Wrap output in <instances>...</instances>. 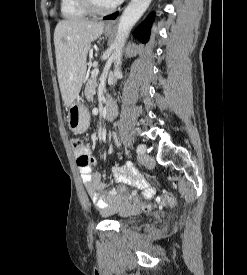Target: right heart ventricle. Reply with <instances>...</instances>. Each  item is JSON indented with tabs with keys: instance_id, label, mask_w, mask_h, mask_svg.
<instances>
[{
	"instance_id": "right-heart-ventricle-1",
	"label": "right heart ventricle",
	"mask_w": 247,
	"mask_h": 275,
	"mask_svg": "<svg viewBox=\"0 0 247 275\" xmlns=\"http://www.w3.org/2000/svg\"><path fill=\"white\" fill-rule=\"evenodd\" d=\"M60 9L67 19H81L88 16V12L80 6L78 0H60Z\"/></svg>"
}]
</instances>
